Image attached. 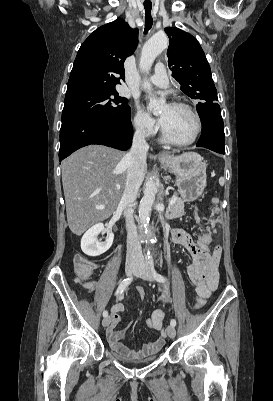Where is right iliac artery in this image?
Returning <instances> with one entry per match:
<instances>
[{
	"label": "right iliac artery",
	"instance_id": "obj_1",
	"mask_svg": "<svg viewBox=\"0 0 273 401\" xmlns=\"http://www.w3.org/2000/svg\"><path fill=\"white\" fill-rule=\"evenodd\" d=\"M132 280H133V277L124 279V280L120 283V285H119V287H118V289H117L115 295L122 294L123 291H124V290L129 286V284L132 282ZM107 316H108V312L105 310V311L103 312V317H107Z\"/></svg>",
	"mask_w": 273,
	"mask_h": 401
}]
</instances>
